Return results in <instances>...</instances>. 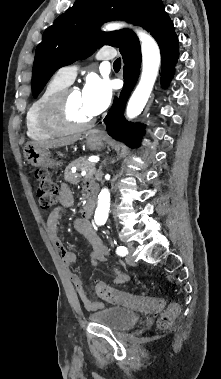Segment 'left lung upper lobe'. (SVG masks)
<instances>
[{
	"label": "left lung upper lobe",
	"instance_id": "obj_1",
	"mask_svg": "<svg viewBox=\"0 0 221 379\" xmlns=\"http://www.w3.org/2000/svg\"><path fill=\"white\" fill-rule=\"evenodd\" d=\"M159 2L161 0H76L46 29L37 46L32 75L33 96H38L62 66L88 57L103 45L119 47L126 37L134 34L128 29L100 32L103 23L125 20L143 26Z\"/></svg>",
	"mask_w": 221,
	"mask_h": 379
}]
</instances>
